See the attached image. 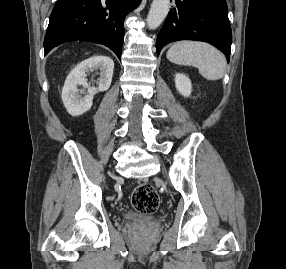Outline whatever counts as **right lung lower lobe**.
<instances>
[{
    "label": "right lung lower lobe",
    "instance_id": "obj_1",
    "mask_svg": "<svg viewBox=\"0 0 286 269\" xmlns=\"http://www.w3.org/2000/svg\"><path fill=\"white\" fill-rule=\"evenodd\" d=\"M141 0H57L44 39L45 55L66 41L109 47L120 59L124 18Z\"/></svg>",
    "mask_w": 286,
    "mask_h": 269
}]
</instances>
